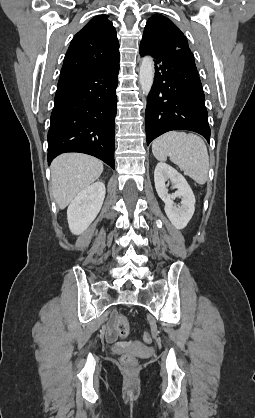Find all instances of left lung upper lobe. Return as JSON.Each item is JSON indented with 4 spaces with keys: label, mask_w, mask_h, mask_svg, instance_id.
<instances>
[{
    "label": "left lung upper lobe",
    "mask_w": 255,
    "mask_h": 418,
    "mask_svg": "<svg viewBox=\"0 0 255 418\" xmlns=\"http://www.w3.org/2000/svg\"><path fill=\"white\" fill-rule=\"evenodd\" d=\"M140 47L151 53L191 51L181 30L167 17L156 14L149 18Z\"/></svg>",
    "instance_id": "1"
}]
</instances>
